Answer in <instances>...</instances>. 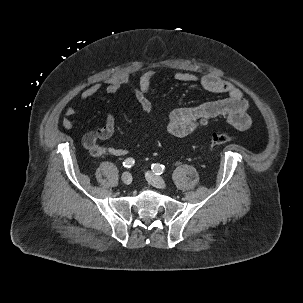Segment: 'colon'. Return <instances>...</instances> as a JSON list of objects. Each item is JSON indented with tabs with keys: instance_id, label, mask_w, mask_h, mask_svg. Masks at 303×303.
Returning <instances> with one entry per match:
<instances>
[{
	"instance_id": "1",
	"label": "colon",
	"mask_w": 303,
	"mask_h": 303,
	"mask_svg": "<svg viewBox=\"0 0 303 303\" xmlns=\"http://www.w3.org/2000/svg\"><path fill=\"white\" fill-rule=\"evenodd\" d=\"M230 141H231L230 136H228L224 133H218V132L212 133L210 136V139H209V143L212 147L224 145V144L229 143Z\"/></svg>"
}]
</instances>
